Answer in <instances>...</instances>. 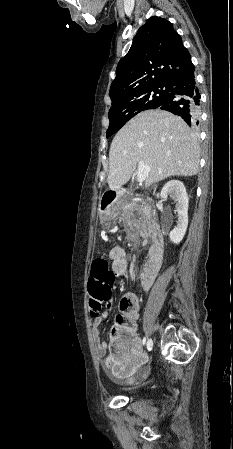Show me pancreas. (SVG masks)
Returning <instances> with one entry per match:
<instances>
[{"instance_id":"pancreas-1","label":"pancreas","mask_w":233,"mask_h":449,"mask_svg":"<svg viewBox=\"0 0 233 449\" xmlns=\"http://www.w3.org/2000/svg\"><path fill=\"white\" fill-rule=\"evenodd\" d=\"M147 209H148V206L146 205V203H144L142 201L133 200L132 202L128 203L125 207L126 219L129 218V214L132 211H137L139 214L144 216L147 212Z\"/></svg>"}]
</instances>
